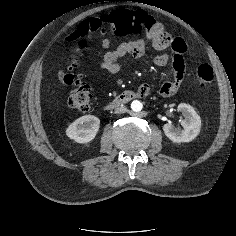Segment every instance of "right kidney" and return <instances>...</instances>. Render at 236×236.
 Masks as SVG:
<instances>
[{
	"label": "right kidney",
	"mask_w": 236,
	"mask_h": 236,
	"mask_svg": "<svg viewBox=\"0 0 236 236\" xmlns=\"http://www.w3.org/2000/svg\"><path fill=\"white\" fill-rule=\"evenodd\" d=\"M100 127V120L93 115H85L69 125L66 135L77 143H88L92 141Z\"/></svg>",
	"instance_id": "obj_1"
}]
</instances>
